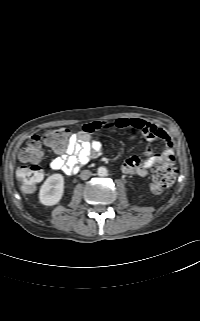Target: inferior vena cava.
I'll list each match as a JSON object with an SVG mask.
<instances>
[{"label": "inferior vena cava", "instance_id": "obj_1", "mask_svg": "<svg viewBox=\"0 0 200 321\" xmlns=\"http://www.w3.org/2000/svg\"><path fill=\"white\" fill-rule=\"evenodd\" d=\"M92 175V173L89 171V170H83L81 173H80V178L82 180H87L90 178V176Z\"/></svg>", "mask_w": 200, "mask_h": 321}]
</instances>
